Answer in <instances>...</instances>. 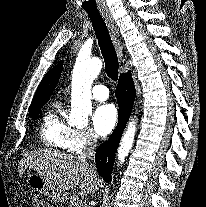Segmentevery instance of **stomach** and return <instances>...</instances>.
Here are the masks:
<instances>
[{"label":"stomach","mask_w":206,"mask_h":207,"mask_svg":"<svg viewBox=\"0 0 206 207\" xmlns=\"http://www.w3.org/2000/svg\"><path fill=\"white\" fill-rule=\"evenodd\" d=\"M27 184L37 193L44 194L45 196L52 198L53 191L50 184L41 175L37 173H29L27 177Z\"/></svg>","instance_id":"0dacf381"}]
</instances>
